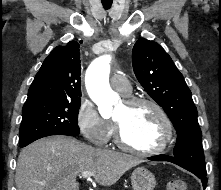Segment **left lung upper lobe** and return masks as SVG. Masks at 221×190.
Wrapping results in <instances>:
<instances>
[{
    "label": "left lung upper lobe",
    "mask_w": 221,
    "mask_h": 190,
    "mask_svg": "<svg viewBox=\"0 0 221 190\" xmlns=\"http://www.w3.org/2000/svg\"><path fill=\"white\" fill-rule=\"evenodd\" d=\"M132 63L138 81L165 110L177 131L174 156L206 168L197 109L190 89L170 56L158 43L140 39L133 47Z\"/></svg>",
    "instance_id": "1"
}]
</instances>
